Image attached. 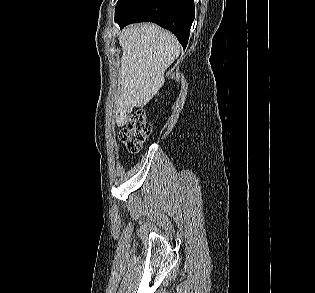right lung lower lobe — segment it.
<instances>
[{"mask_svg":"<svg viewBox=\"0 0 315 293\" xmlns=\"http://www.w3.org/2000/svg\"><path fill=\"white\" fill-rule=\"evenodd\" d=\"M115 14L120 28L130 23L154 22L172 31L185 48L195 8L193 0H118Z\"/></svg>","mask_w":315,"mask_h":293,"instance_id":"98d812e1","label":"right lung lower lobe"}]
</instances>
